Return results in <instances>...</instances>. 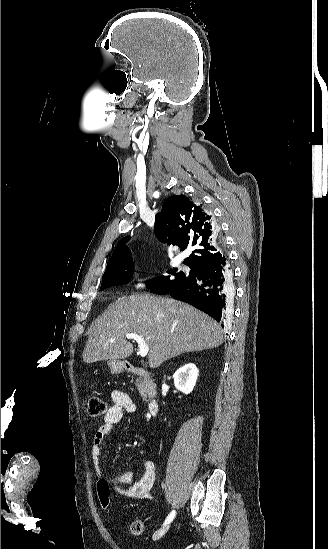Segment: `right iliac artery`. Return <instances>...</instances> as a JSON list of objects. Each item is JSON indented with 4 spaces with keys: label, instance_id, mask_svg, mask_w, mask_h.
Returning <instances> with one entry per match:
<instances>
[{
    "label": "right iliac artery",
    "instance_id": "82829eb1",
    "mask_svg": "<svg viewBox=\"0 0 328 549\" xmlns=\"http://www.w3.org/2000/svg\"><path fill=\"white\" fill-rule=\"evenodd\" d=\"M175 517V510H173L167 517V519L165 520V523L164 525L166 524H169Z\"/></svg>",
    "mask_w": 328,
    "mask_h": 549
}]
</instances>
